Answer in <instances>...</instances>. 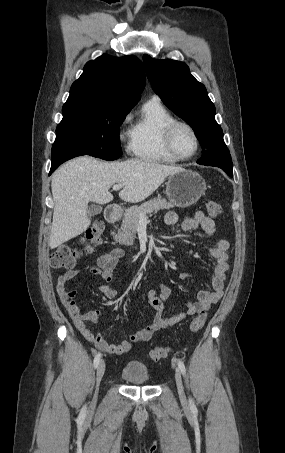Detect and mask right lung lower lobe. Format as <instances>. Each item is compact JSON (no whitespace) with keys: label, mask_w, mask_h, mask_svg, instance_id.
Listing matches in <instances>:
<instances>
[{"label":"right lung lower lobe","mask_w":285,"mask_h":453,"mask_svg":"<svg viewBox=\"0 0 285 453\" xmlns=\"http://www.w3.org/2000/svg\"><path fill=\"white\" fill-rule=\"evenodd\" d=\"M52 164L51 170L49 175L55 171V169L62 164L63 162L74 158L76 156H80V152L76 147L65 145L63 143H59L55 140L52 146Z\"/></svg>","instance_id":"1"}]
</instances>
